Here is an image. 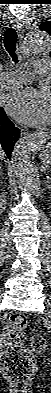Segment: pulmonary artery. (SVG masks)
Listing matches in <instances>:
<instances>
[{
	"label": "pulmonary artery",
	"instance_id": "1",
	"mask_svg": "<svg viewBox=\"0 0 51 393\" xmlns=\"http://www.w3.org/2000/svg\"><path fill=\"white\" fill-rule=\"evenodd\" d=\"M35 65L39 74H47L51 69L49 60L36 61ZM28 79V74L26 73H10L1 77L0 87L4 89L17 88L26 84Z\"/></svg>",
	"mask_w": 51,
	"mask_h": 393
}]
</instances>
